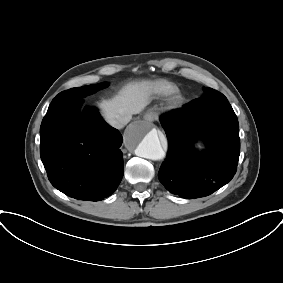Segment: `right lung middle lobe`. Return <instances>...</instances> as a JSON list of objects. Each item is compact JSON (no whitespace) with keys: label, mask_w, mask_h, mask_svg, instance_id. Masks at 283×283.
Segmentation results:
<instances>
[{"label":"right lung middle lobe","mask_w":283,"mask_h":283,"mask_svg":"<svg viewBox=\"0 0 283 283\" xmlns=\"http://www.w3.org/2000/svg\"><path fill=\"white\" fill-rule=\"evenodd\" d=\"M108 86L107 82L100 83V84H94V85H88L83 87H77V88H71L69 90L63 91L59 93L56 98L59 97H65V96H79V97H85L87 95L93 94L96 91L105 88Z\"/></svg>","instance_id":"1"}]
</instances>
